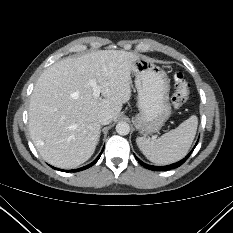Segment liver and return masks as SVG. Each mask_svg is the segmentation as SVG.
<instances>
[{
    "mask_svg": "<svg viewBox=\"0 0 233 233\" xmlns=\"http://www.w3.org/2000/svg\"><path fill=\"white\" fill-rule=\"evenodd\" d=\"M139 56L123 50H98L66 58L38 78L29 105V131L40 156L71 169L94 153L100 134L98 116L117 119L131 97V72ZM95 79L104 98L93 95Z\"/></svg>",
    "mask_w": 233,
    "mask_h": 233,
    "instance_id": "1",
    "label": "liver"
}]
</instances>
